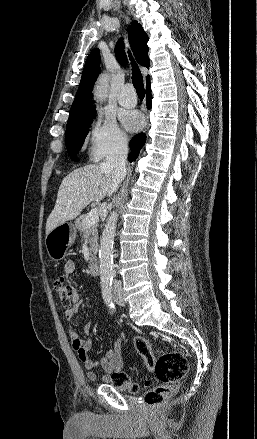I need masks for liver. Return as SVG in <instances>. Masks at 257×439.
Returning a JSON list of instances; mask_svg holds the SVG:
<instances>
[{
    "instance_id": "obj_1",
    "label": "liver",
    "mask_w": 257,
    "mask_h": 439,
    "mask_svg": "<svg viewBox=\"0 0 257 439\" xmlns=\"http://www.w3.org/2000/svg\"><path fill=\"white\" fill-rule=\"evenodd\" d=\"M113 186V170L104 163L75 169L61 182L56 204L46 223V235L73 220L91 202H100Z\"/></svg>"
}]
</instances>
